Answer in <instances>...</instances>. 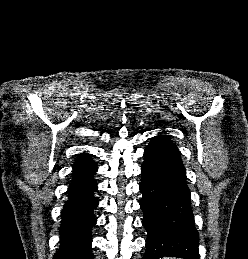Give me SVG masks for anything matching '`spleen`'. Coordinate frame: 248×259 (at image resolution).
I'll return each mask as SVG.
<instances>
[{
	"label": "spleen",
	"mask_w": 248,
	"mask_h": 259,
	"mask_svg": "<svg viewBox=\"0 0 248 259\" xmlns=\"http://www.w3.org/2000/svg\"><path fill=\"white\" fill-rule=\"evenodd\" d=\"M165 259H177V258H165Z\"/></svg>",
	"instance_id": "1"
}]
</instances>
